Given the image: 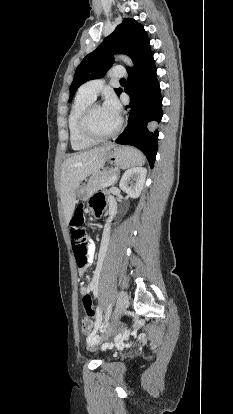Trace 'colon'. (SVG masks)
Masks as SVG:
<instances>
[{"label": "colon", "mask_w": 233, "mask_h": 414, "mask_svg": "<svg viewBox=\"0 0 233 414\" xmlns=\"http://www.w3.org/2000/svg\"><path fill=\"white\" fill-rule=\"evenodd\" d=\"M84 215L82 208H77L71 219V239L73 251L78 267H84L88 263V236L84 228ZM84 316L82 319V330L85 333H91L95 323V312L93 302L89 293L82 298Z\"/></svg>", "instance_id": "1"}]
</instances>
